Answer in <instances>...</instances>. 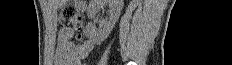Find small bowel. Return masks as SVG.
<instances>
[{
  "label": "small bowel",
  "instance_id": "1",
  "mask_svg": "<svg viewBox=\"0 0 232 65\" xmlns=\"http://www.w3.org/2000/svg\"><path fill=\"white\" fill-rule=\"evenodd\" d=\"M72 31L62 29L59 34L58 61L67 65H81V59L85 58L94 48L90 40L84 41L81 45H74L70 41Z\"/></svg>",
  "mask_w": 232,
  "mask_h": 65
}]
</instances>
